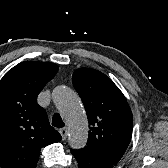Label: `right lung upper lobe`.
Returning <instances> with one entry per match:
<instances>
[{
	"instance_id": "cb5924a9",
	"label": "right lung upper lobe",
	"mask_w": 168,
	"mask_h": 168,
	"mask_svg": "<svg viewBox=\"0 0 168 168\" xmlns=\"http://www.w3.org/2000/svg\"><path fill=\"white\" fill-rule=\"evenodd\" d=\"M57 71L53 63L25 61L0 80L1 168H35L40 149L62 139L37 104L38 94Z\"/></svg>"
}]
</instances>
